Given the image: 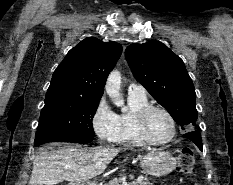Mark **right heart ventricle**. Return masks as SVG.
Segmentation results:
<instances>
[{"label": "right heart ventricle", "mask_w": 233, "mask_h": 185, "mask_svg": "<svg viewBox=\"0 0 233 185\" xmlns=\"http://www.w3.org/2000/svg\"><path fill=\"white\" fill-rule=\"evenodd\" d=\"M129 110L118 115V137L116 143L127 146H142L146 142L140 137L136 116L149 104L146 95H128Z\"/></svg>", "instance_id": "1"}]
</instances>
